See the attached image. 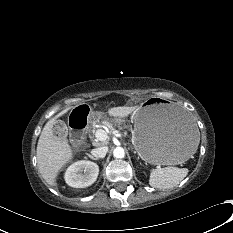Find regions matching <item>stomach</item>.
Instances as JSON below:
<instances>
[{
    "mask_svg": "<svg viewBox=\"0 0 233 233\" xmlns=\"http://www.w3.org/2000/svg\"><path fill=\"white\" fill-rule=\"evenodd\" d=\"M133 145L154 165H174L196 151L200 133L192 115L180 105L161 99L144 102L133 114Z\"/></svg>",
    "mask_w": 233,
    "mask_h": 233,
    "instance_id": "obj_1",
    "label": "stomach"
}]
</instances>
